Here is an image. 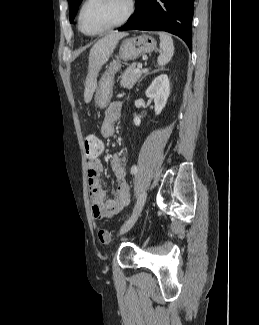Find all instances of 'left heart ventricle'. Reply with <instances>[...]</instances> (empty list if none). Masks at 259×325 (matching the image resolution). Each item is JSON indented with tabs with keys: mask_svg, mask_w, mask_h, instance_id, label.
Here are the masks:
<instances>
[{
	"mask_svg": "<svg viewBox=\"0 0 259 325\" xmlns=\"http://www.w3.org/2000/svg\"><path fill=\"white\" fill-rule=\"evenodd\" d=\"M127 0H91L82 15L88 32L101 31L118 22L126 13Z\"/></svg>",
	"mask_w": 259,
	"mask_h": 325,
	"instance_id": "left-heart-ventricle-1",
	"label": "left heart ventricle"
}]
</instances>
